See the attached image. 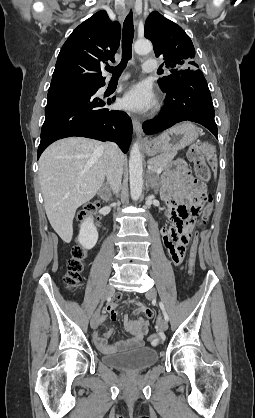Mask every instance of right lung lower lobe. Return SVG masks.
<instances>
[{
	"label": "right lung lower lobe",
	"instance_id": "98d812e1",
	"mask_svg": "<svg viewBox=\"0 0 255 418\" xmlns=\"http://www.w3.org/2000/svg\"><path fill=\"white\" fill-rule=\"evenodd\" d=\"M104 85L105 82L49 88L38 158L51 143L71 136L114 141L127 153L132 137L131 119L123 111L103 108L114 101L95 95Z\"/></svg>",
	"mask_w": 255,
	"mask_h": 418
}]
</instances>
